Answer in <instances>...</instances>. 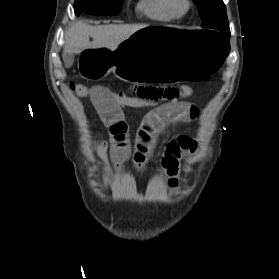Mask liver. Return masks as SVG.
<instances>
[{
  "mask_svg": "<svg viewBox=\"0 0 279 279\" xmlns=\"http://www.w3.org/2000/svg\"><path fill=\"white\" fill-rule=\"evenodd\" d=\"M149 27L145 24H109L90 26L82 21L76 22L65 32L64 53H81L87 49L115 47L135 32ZM93 41L90 42L89 38Z\"/></svg>",
  "mask_w": 279,
  "mask_h": 279,
  "instance_id": "liver-1",
  "label": "liver"
}]
</instances>
